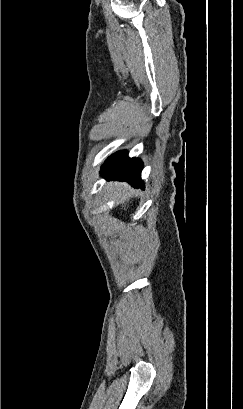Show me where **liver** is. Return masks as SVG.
<instances>
[{
    "label": "liver",
    "instance_id": "1",
    "mask_svg": "<svg viewBox=\"0 0 243 409\" xmlns=\"http://www.w3.org/2000/svg\"><path fill=\"white\" fill-rule=\"evenodd\" d=\"M106 188L110 191L111 197L118 198L119 200H123L122 207H125L124 199L130 192V188L126 183H119V182H109L106 184Z\"/></svg>",
    "mask_w": 243,
    "mask_h": 409
}]
</instances>
